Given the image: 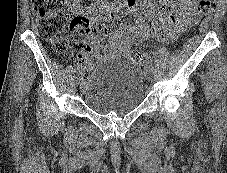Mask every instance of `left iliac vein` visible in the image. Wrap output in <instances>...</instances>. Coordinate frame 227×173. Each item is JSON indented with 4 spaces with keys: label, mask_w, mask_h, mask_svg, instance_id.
Listing matches in <instances>:
<instances>
[{
    "label": "left iliac vein",
    "mask_w": 227,
    "mask_h": 173,
    "mask_svg": "<svg viewBox=\"0 0 227 173\" xmlns=\"http://www.w3.org/2000/svg\"><path fill=\"white\" fill-rule=\"evenodd\" d=\"M144 76L148 81H150L152 78V71L150 69H145Z\"/></svg>",
    "instance_id": "1"
}]
</instances>
